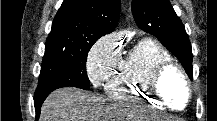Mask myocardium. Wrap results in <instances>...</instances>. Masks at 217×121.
I'll return each instance as SVG.
<instances>
[{"label": "myocardium", "mask_w": 217, "mask_h": 121, "mask_svg": "<svg viewBox=\"0 0 217 121\" xmlns=\"http://www.w3.org/2000/svg\"><path fill=\"white\" fill-rule=\"evenodd\" d=\"M169 72L177 73L181 77L185 85L187 97L184 105L180 108L173 106L170 103V101L165 97L161 89V81ZM148 85H149L151 95L155 98V100L159 104L163 105L164 107L172 111H176V112L183 111L191 102L192 99L191 82L187 74L183 70V68L173 61H168L157 65L151 73V76L148 81Z\"/></svg>", "instance_id": "f54148a6"}]
</instances>
